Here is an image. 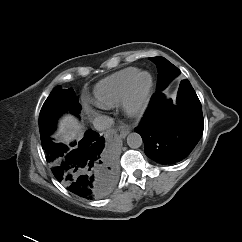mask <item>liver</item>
<instances>
[{
  "mask_svg": "<svg viewBox=\"0 0 242 242\" xmlns=\"http://www.w3.org/2000/svg\"><path fill=\"white\" fill-rule=\"evenodd\" d=\"M82 135L78 121L72 115H65L60 119L58 130L53 136L59 142L69 143L76 138L80 139Z\"/></svg>",
  "mask_w": 242,
  "mask_h": 242,
  "instance_id": "1",
  "label": "liver"
}]
</instances>
